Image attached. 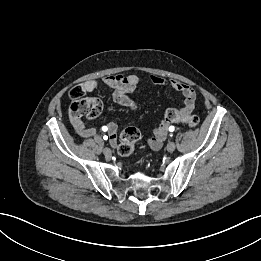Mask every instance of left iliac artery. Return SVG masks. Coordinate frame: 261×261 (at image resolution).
<instances>
[{
  "label": "left iliac artery",
  "instance_id": "left-iliac-artery-1",
  "mask_svg": "<svg viewBox=\"0 0 261 261\" xmlns=\"http://www.w3.org/2000/svg\"><path fill=\"white\" fill-rule=\"evenodd\" d=\"M174 129H175L174 126H170V127H169V131H170V132H173Z\"/></svg>",
  "mask_w": 261,
  "mask_h": 261
}]
</instances>
